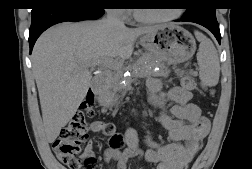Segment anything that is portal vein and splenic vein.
I'll use <instances>...</instances> for the list:
<instances>
[{
    "label": "portal vein and splenic vein",
    "instance_id": "portal-vein-and-splenic-vein-1",
    "mask_svg": "<svg viewBox=\"0 0 252 169\" xmlns=\"http://www.w3.org/2000/svg\"><path fill=\"white\" fill-rule=\"evenodd\" d=\"M96 65H102V66H106L110 69H115L118 70L121 65L118 61H115L113 58H106L103 60H99L96 62Z\"/></svg>",
    "mask_w": 252,
    "mask_h": 169
}]
</instances>
